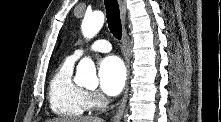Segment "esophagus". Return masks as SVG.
I'll list each match as a JSON object with an SVG mask.
<instances>
[{
	"label": "esophagus",
	"instance_id": "34e87169",
	"mask_svg": "<svg viewBox=\"0 0 221 122\" xmlns=\"http://www.w3.org/2000/svg\"><path fill=\"white\" fill-rule=\"evenodd\" d=\"M119 9H120V17L122 21V50L123 55L125 59V64L127 68V81L125 86V92L124 95L118 105V108L116 110V113L112 119L113 122H119L122 118V115L124 113L127 99H128V93H129V79H130V53L127 46V30H126V8H125V1L119 0Z\"/></svg>",
	"mask_w": 221,
	"mask_h": 122
}]
</instances>
